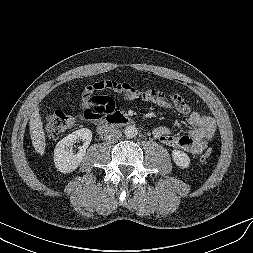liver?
Returning <instances> with one entry per match:
<instances>
[{"label": "liver", "mask_w": 253, "mask_h": 253, "mask_svg": "<svg viewBox=\"0 0 253 253\" xmlns=\"http://www.w3.org/2000/svg\"><path fill=\"white\" fill-rule=\"evenodd\" d=\"M29 127L33 147L42 156L45 153L46 138L38 108H35L32 112Z\"/></svg>", "instance_id": "liver-1"}]
</instances>
